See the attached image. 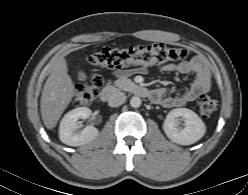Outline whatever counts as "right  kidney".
Wrapping results in <instances>:
<instances>
[{"instance_id": "1", "label": "right kidney", "mask_w": 248, "mask_h": 195, "mask_svg": "<svg viewBox=\"0 0 248 195\" xmlns=\"http://www.w3.org/2000/svg\"><path fill=\"white\" fill-rule=\"evenodd\" d=\"M91 116V110L87 107H78L65 114L60 122V140L69 146H81L96 139L99 131L93 125L86 126L80 132L77 129L81 126L79 119H87Z\"/></svg>"}]
</instances>
